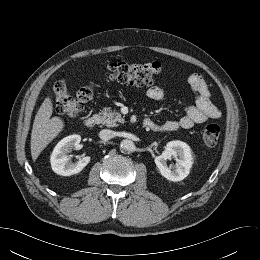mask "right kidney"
<instances>
[{"mask_svg":"<svg viewBox=\"0 0 260 260\" xmlns=\"http://www.w3.org/2000/svg\"><path fill=\"white\" fill-rule=\"evenodd\" d=\"M81 141L80 135H70L63 138L55 146L50 162L52 170L62 176H70L77 174L83 170V168L90 162V157L86 156L75 163L69 160V153L73 148L77 147Z\"/></svg>","mask_w":260,"mask_h":260,"instance_id":"1","label":"right kidney"}]
</instances>
